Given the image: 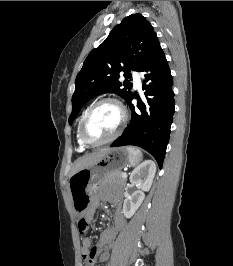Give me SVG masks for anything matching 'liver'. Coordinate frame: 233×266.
Returning <instances> with one entry per match:
<instances>
[{"label": "liver", "mask_w": 233, "mask_h": 266, "mask_svg": "<svg viewBox=\"0 0 233 266\" xmlns=\"http://www.w3.org/2000/svg\"><path fill=\"white\" fill-rule=\"evenodd\" d=\"M109 148L101 149L78 158L72 167L71 176L81 169L88 168L97 162L108 152Z\"/></svg>", "instance_id": "obj_1"}]
</instances>
